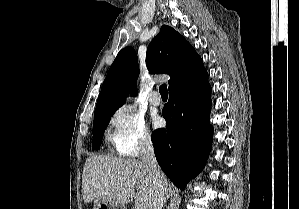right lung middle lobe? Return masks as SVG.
<instances>
[{"label":"right lung middle lobe","mask_w":299,"mask_h":209,"mask_svg":"<svg viewBox=\"0 0 299 209\" xmlns=\"http://www.w3.org/2000/svg\"><path fill=\"white\" fill-rule=\"evenodd\" d=\"M114 111L94 115L93 121V142L92 149H99L103 137V132L107 128Z\"/></svg>","instance_id":"dd1d6c3e"}]
</instances>
